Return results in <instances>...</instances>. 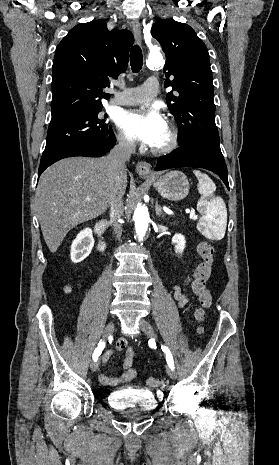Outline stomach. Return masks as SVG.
Segmentation results:
<instances>
[{"mask_svg":"<svg viewBox=\"0 0 279 465\" xmlns=\"http://www.w3.org/2000/svg\"><path fill=\"white\" fill-rule=\"evenodd\" d=\"M153 185L162 197L172 201L184 199L190 188L186 175L177 170L154 179Z\"/></svg>","mask_w":279,"mask_h":465,"instance_id":"obj_1","label":"stomach"}]
</instances>
